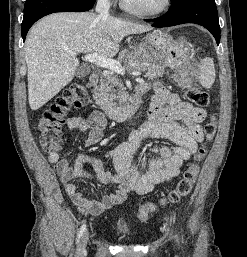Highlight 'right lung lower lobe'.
<instances>
[{"mask_svg":"<svg viewBox=\"0 0 247 257\" xmlns=\"http://www.w3.org/2000/svg\"><path fill=\"white\" fill-rule=\"evenodd\" d=\"M96 0H26L22 22L25 40L30 27L40 18L55 12H83L91 9Z\"/></svg>","mask_w":247,"mask_h":257,"instance_id":"98d812e1","label":"right lung lower lobe"}]
</instances>
